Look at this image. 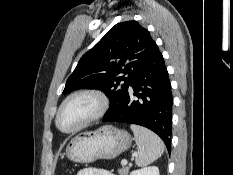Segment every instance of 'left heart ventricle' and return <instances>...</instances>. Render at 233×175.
Masks as SVG:
<instances>
[{
  "label": "left heart ventricle",
  "instance_id": "obj_1",
  "mask_svg": "<svg viewBox=\"0 0 233 175\" xmlns=\"http://www.w3.org/2000/svg\"><path fill=\"white\" fill-rule=\"evenodd\" d=\"M97 103L95 99L81 96L71 100L63 109L59 124L63 129H70L89 117L95 111Z\"/></svg>",
  "mask_w": 233,
  "mask_h": 175
}]
</instances>
